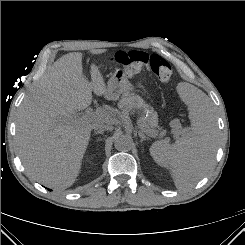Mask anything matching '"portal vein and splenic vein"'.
I'll list each match as a JSON object with an SVG mask.
<instances>
[{"mask_svg": "<svg viewBox=\"0 0 245 245\" xmlns=\"http://www.w3.org/2000/svg\"><path fill=\"white\" fill-rule=\"evenodd\" d=\"M76 117L77 116H74V118H76ZM82 117L86 120L95 121V120H103L104 118H107L108 115L103 111H95L94 112L91 108H89L85 111V114ZM138 125L141 129L148 131V129L145 125V120L143 118L138 119ZM177 134H180V131Z\"/></svg>", "mask_w": 245, "mask_h": 245, "instance_id": "18ae733b", "label": "portal vein and splenic vein"}]
</instances>
